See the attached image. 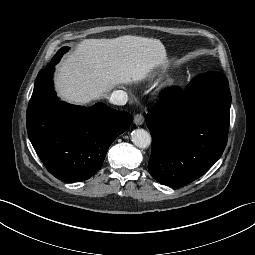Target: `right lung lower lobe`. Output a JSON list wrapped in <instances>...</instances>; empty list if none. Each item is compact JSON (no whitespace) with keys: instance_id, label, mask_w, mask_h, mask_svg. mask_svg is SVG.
Here are the masks:
<instances>
[{"instance_id":"98d812e1","label":"right lung lower lobe","mask_w":255,"mask_h":255,"mask_svg":"<svg viewBox=\"0 0 255 255\" xmlns=\"http://www.w3.org/2000/svg\"><path fill=\"white\" fill-rule=\"evenodd\" d=\"M54 66L41 70L28 105L29 139L47 170L66 182L89 179L103 165L112 142L132 115L98 103L85 108L60 102L53 89Z\"/></svg>"}]
</instances>
